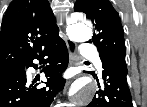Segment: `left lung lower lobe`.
I'll return each instance as SVG.
<instances>
[{"mask_svg":"<svg viewBox=\"0 0 147 107\" xmlns=\"http://www.w3.org/2000/svg\"><path fill=\"white\" fill-rule=\"evenodd\" d=\"M103 84L87 107H133L127 83L125 52H111L100 56Z\"/></svg>","mask_w":147,"mask_h":107,"instance_id":"left-lung-lower-lobe-1","label":"left lung lower lobe"}]
</instances>
